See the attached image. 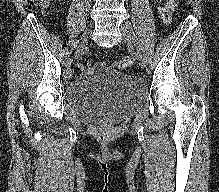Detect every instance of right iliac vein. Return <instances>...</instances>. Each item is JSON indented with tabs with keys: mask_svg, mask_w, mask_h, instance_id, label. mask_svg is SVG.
<instances>
[{
	"mask_svg": "<svg viewBox=\"0 0 219 192\" xmlns=\"http://www.w3.org/2000/svg\"><path fill=\"white\" fill-rule=\"evenodd\" d=\"M87 43H88V36H85V37L82 39V41H81V43H80V45H79V47H78V50H77V57H79L80 54L83 52V50L86 48Z\"/></svg>",
	"mask_w": 219,
	"mask_h": 192,
	"instance_id": "right-iliac-vein-1",
	"label": "right iliac vein"
}]
</instances>
